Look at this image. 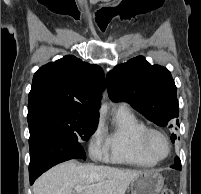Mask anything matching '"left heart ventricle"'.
Wrapping results in <instances>:
<instances>
[{
    "label": "left heart ventricle",
    "mask_w": 201,
    "mask_h": 194,
    "mask_svg": "<svg viewBox=\"0 0 201 194\" xmlns=\"http://www.w3.org/2000/svg\"><path fill=\"white\" fill-rule=\"evenodd\" d=\"M149 150L156 157H162L167 152V145L159 135H152L149 140Z\"/></svg>",
    "instance_id": "b2bd125f"
}]
</instances>
